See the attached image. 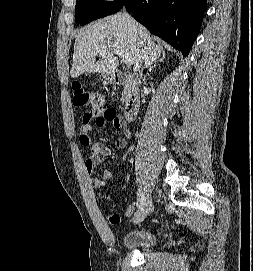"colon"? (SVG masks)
<instances>
[{
	"instance_id": "1",
	"label": "colon",
	"mask_w": 253,
	"mask_h": 271,
	"mask_svg": "<svg viewBox=\"0 0 253 271\" xmlns=\"http://www.w3.org/2000/svg\"><path fill=\"white\" fill-rule=\"evenodd\" d=\"M73 103L80 107L90 106V113L102 114L108 121H118L117 113L112 109H103L104 97L101 93L95 91L83 90L80 86H75Z\"/></svg>"
}]
</instances>
